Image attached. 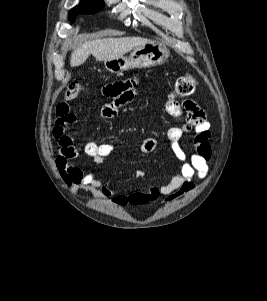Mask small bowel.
Wrapping results in <instances>:
<instances>
[{"instance_id":"c3829d8e","label":"small bowel","mask_w":267,"mask_h":301,"mask_svg":"<svg viewBox=\"0 0 267 301\" xmlns=\"http://www.w3.org/2000/svg\"><path fill=\"white\" fill-rule=\"evenodd\" d=\"M138 81L136 78L116 81L105 85L101 93L109 101L101 109V117L112 119L118 115L121 107L131 103L137 95ZM166 111L169 115L182 120L181 125L170 127L167 131V141L170 149L182 165L170 181L162 186H151L145 190L124 193L104 184L94 173H84L73 160L80 154L92 159L98 167L114 149L111 143L88 142L82 147L74 144L73 136L68 132L70 124L76 120L71 106L62 101L56 106L58 119L53 129V135L59 143V156L56 160L57 167L65 184L73 191L85 190L97 197H110L117 205H143L165 196L164 203H170L179 196L189 193L195 188L194 179H203L209 170L211 158L210 123L204 111L193 101L179 104L174 99H168ZM195 132L196 149L191 154H186L180 146L184 134ZM157 147L155 138H147L141 144L143 153H151ZM143 172H138L136 178H141Z\"/></svg>"}]
</instances>
